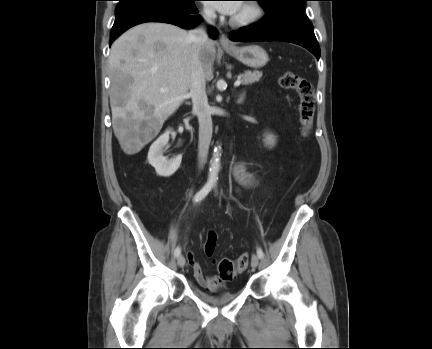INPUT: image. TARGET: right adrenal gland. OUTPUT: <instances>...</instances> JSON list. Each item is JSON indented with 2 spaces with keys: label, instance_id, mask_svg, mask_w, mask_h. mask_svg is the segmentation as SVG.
I'll return each mask as SVG.
<instances>
[{
  "label": "right adrenal gland",
  "instance_id": "2a0ac1e0",
  "mask_svg": "<svg viewBox=\"0 0 432 349\" xmlns=\"http://www.w3.org/2000/svg\"><path fill=\"white\" fill-rule=\"evenodd\" d=\"M186 104H189V105H190V102H186Z\"/></svg>",
  "mask_w": 432,
  "mask_h": 349
}]
</instances>
